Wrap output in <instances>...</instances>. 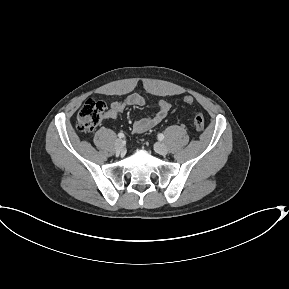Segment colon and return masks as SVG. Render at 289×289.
Masks as SVG:
<instances>
[{
    "label": "colon",
    "mask_w": 289,
    "mask_h": 289,
    "mask_svg": "<svg viewBox=\"0 0 289 289\" xmlns=\"http://www.w3.org/2000/svg\"><path fill=\"white\" fill-rule=\"evenodd\" d=\"M184 102L192 105L194 99L192 96H185ZM106 105L103 101L89 99L87 100L77 114L76 126L82 132L93 131L101 122ZM197 131H202L205 127L204 116L200 112H196L193 120Z\"/></svg>",
    "instance_id": "colon-1"
}]
</instances>
